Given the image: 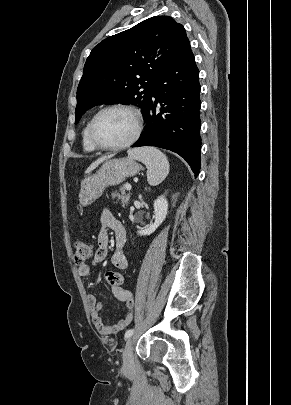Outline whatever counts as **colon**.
<instances>
[{
    "label": "colon",
    "mask_w": 291,
    "mask_h": 405,
    "mask_svg": "<svg viewBox=\"0 0 291 405\" xmlns=\"http://www.w3.org/2000/svg\"><path fill=\"white\" fill-rule=\"evenodd\" d=\"M93 255V247L82 239L74 242V260L77 266H83ZM105 278L110 286H121L124 277L115 271H107Z\"/></svg>",
    "instance_id": "5ec220e1"
}]
</instances>
